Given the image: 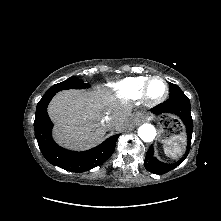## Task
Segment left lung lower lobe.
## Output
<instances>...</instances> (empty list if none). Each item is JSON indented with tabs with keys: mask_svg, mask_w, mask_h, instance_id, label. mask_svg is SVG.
Listing matches in <instances>:
<instances>
[{
	"mask_svg": "<svg viewBox=\"0 0 221 221\" xmlns=\"http://www.w3.org/2000/svg\"><path fill=\"white\" fill-rule=\"evenodd\" d=\"M151 112L155 114L156 116H161L165 114H173L177 116L181 122L185 125L187 138H188V146L187 150L184 154V156L177 162L173 164H166L162 163L159 160H157L154 157V150L153 146L151 145L150 148L147 151L146 159L144 162L145 168L154 174H164L174 168H176L179 164L182 163V161L187 157L189 150H190V144H191V138H192V132H193V121L191 117V105L188 97L186 95L183 96H174L169 97L168 100L165 102L157 105L156 107L151 109Z\"/></svg>",
	"mask_w": 221,
	"mask_h": 221,
	"instance_id": "obj_1",
	"label": "left lung lower lobe"
}]
</instances>
